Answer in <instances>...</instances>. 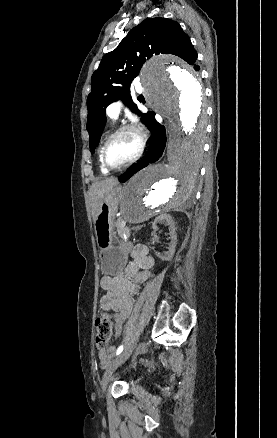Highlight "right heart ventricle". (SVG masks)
<instances>
[{"label":"right heart ventricle","instance_id":"obj_1","mask_svg":"<svg viewBox=\"0 0 277 438\" xmlns=\"http://www.w3.org/2000/svg\"><path fill=\"white\" fill-rule=\"evenodd\" d=\"M104 143H105V141H103V143L101 144L100 149H99V162H100V170H101V172L103 174H106L108 171H107L106 167L101 162V151H102V147H103Z\"/></svg>","mask_w":277,"mask_h":438}]
</instances>
